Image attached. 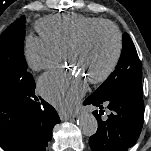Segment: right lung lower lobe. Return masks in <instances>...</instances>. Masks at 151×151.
Wrapping results in <instances>:
<instances>
[{"label": "right lung lower lobe", "mask_w": 151, "mask_h": 151, "mask_svg": "<svg viewBox=\"0 0 151 151\" xmlns=\"http://www.w3.org/2000/svg\"><path fill=\"white\" fill-rule=\"evenodd\" d=\"M28 83L25 88V103L23 109L25 112L24 118V136L22 147L19 151H46L48 142L52 139V129L60 122V118L56 110L47 102L41 99L38 102L34 95L35 82L30 74L27 78ZM8 80L0 77V88H6ZM1 93L4 90H0Z\"/></svg>", "instance_id": "obj_1"}]
</instances>
